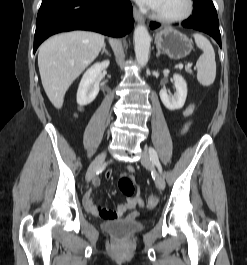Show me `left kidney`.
<instances>
[{
	"label": "left kidney",
	"instance_id": "5707ae66",
	"mask_svg": "<svg viewBox=\"0 0 247 265\" xmlns=\"http://www.w3.org/2000/svg\"><path fill=\"white\" fill-rule=\"evenodd\" d=\"M173 81L176 89L174 95H169L166 89H161L159 93L162 103L171 111L181 109L184 106L187 97V84L183 77L174 74Z\"/></svg>",
	"mask_w": 247,
	"mask_h": 265
}]
</instances>
